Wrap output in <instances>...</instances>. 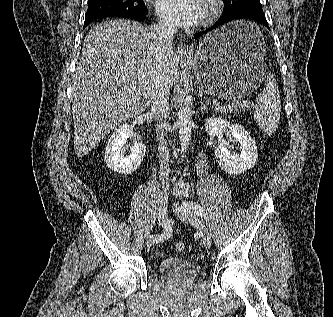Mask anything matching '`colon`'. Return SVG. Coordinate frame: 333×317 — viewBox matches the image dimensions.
<instances>
[{"mask_svg":"<svg viewBox=\"0 0 333 317\" xmlns=\"http://www.w3.org/2000/svg\"><path fill=\"white\" fill-rule=\"evenodd\" d=\"M175 250L177 252H183L185 250V243L183 241H178L175 243Z\"/></svg>","mask_w":333,"mask_h":317,"instance_id":"colon-1","label":"colon"}]
</instances>
